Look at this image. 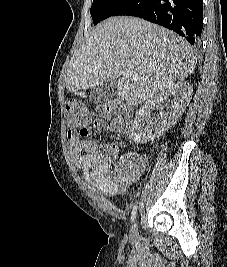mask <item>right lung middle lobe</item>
I'll return each mask as SVG.
<instances>
[{"mask_svg": "<svg viewBox=\"0 0 227 267\" xmlns=\"http://www.w3.org/2000/svg\"><path fill=\"white\" fill-rule=\"evenodd\" d=\"M129 0H93L90 13L94 25L98 22L113 16Z\"/></svg>", "mask_w": 227, "mask_h": 267, "instance_id": "dd1d6c3e", "label": "right lung middle lobe"}]
</instances>
